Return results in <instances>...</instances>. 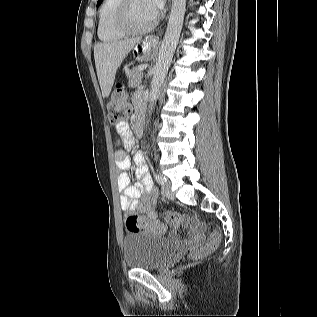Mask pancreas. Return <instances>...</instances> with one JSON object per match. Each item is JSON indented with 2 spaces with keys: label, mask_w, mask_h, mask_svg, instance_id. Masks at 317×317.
I'll return each instance as SVG.
<instances>
[{
  "label": "pancreas",
  "mask_w": 317,
  "mask_h": 317,
  "mask_svg": "<svg viewBox=\"0 0 317 317\" xmlns=\"http://www.w3.org/2000/svg\"><path fill=\"white\" fill-rule=\"evenodd\" d=\"M126 76L128 78V86L131 88L136 87L143 77L142 71H139V67H134L133 69L126 70Z\"/></svg>",
  "instance_id": "1"
}]
</instances>
